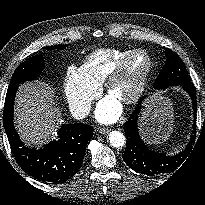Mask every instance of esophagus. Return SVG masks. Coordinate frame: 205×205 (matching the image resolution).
<instances>
[{"mask_svg": "<svg viewBox=\"0 0 205 205\" xmlns=\"http://www.w3.org/2000/svg\"><path fill=\"white\" fill-rule=\"evenodd\" d=\"M110 130L107 128H98V132L101 134H107Z\"/></svg>", "mask_w": 205, "mask_h": 205, "instance_id": "1", "label": "esophagus"}]
</instances>
